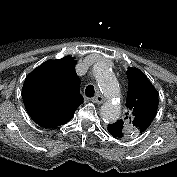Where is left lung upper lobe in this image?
Segmentation results:
<instances>
[{"label":"left lung upper lobe","mask_w":177,"mask_h":177,"mask_svg":"<svg viewBox=\"0 0 177 177\" xmlns=\"http://www.w3.org/2000/svg\"><path fill=\"white\" fill-rule=\"evenodd\" d=\"M127 78V113L113 125L122 131L121 138H134L144 134L153 122L158 109L159 94L139 69L128 67Z\"/></svg>","instance_id":"5c2ea615"}]
</instances>
